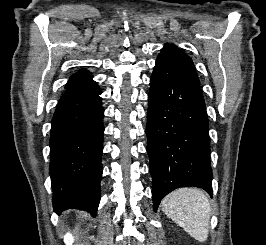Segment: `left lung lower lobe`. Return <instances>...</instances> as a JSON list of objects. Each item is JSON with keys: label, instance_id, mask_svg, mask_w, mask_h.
<instances>
[{"label": "left lung lower lobe", "instance_id": "0a47b994", "mask_svg": "<svg viewBox=\"0 0 266 245\" xmlns=\"http://www.w3.org/2000/svg\"><path fill=\"white\" fill-rule=\"evenodd\" d=\"M148 101L154 211L176 188L199 187L212 196L209 124L199 80L182 66L157 58Z\"/></svg>", "mask_w": 266, "mask_h": 245}]
</instances>
